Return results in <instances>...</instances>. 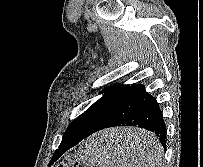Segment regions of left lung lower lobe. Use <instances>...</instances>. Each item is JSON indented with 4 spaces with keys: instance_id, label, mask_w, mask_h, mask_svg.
Here are the masks:
<instances>
[{
    "instance_id": "left-lung-lower-lobe-1",
    "label": "left lung lower lobe",
    "mask_w": 203,
    "mask_h": 167,
    "mask_svg": "<svg viewBox=\"0 0 203 167\" xmlns=\"http://www.w3.org/2000/svg\"><path fill=\"white\" fill-rule=\"evenodd\" d=\"M115 126L144 128L153 132L164 148L166 146V126L162 112L158 108L156 99L145 91L144 85L132 84L122 95L108 116L91 134ZM91 134H75L62 138L61 144L54 153L53 158L57 160L68 149ZM136 148L140 151V149H143V146L139 143Z\"/></svg>"
}]
</instances>
